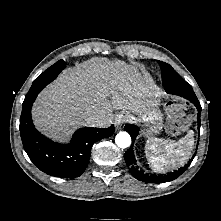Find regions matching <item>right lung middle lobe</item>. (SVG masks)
Here are the masks:
<instances>
[{"instance_id":"right-lung-middle-lobe-1","label":"right lung middle lobe","mask_w":221,"mask_h":221,"mask_svg":"<svg viewBox=\"0 0 221 221\" xmlns=\"http://www.w3.org/2000/svg\"><path fill=\"white\" fill-rule=\"evenodd\" d=\"M66 63L63 60H59L54 65L49 67L43 72L37 79L34 80L29 92L25 96L23 105L33 102L38 93L51 81H53L58 74L65 68Z\"/></svg>"}]
</instances>
